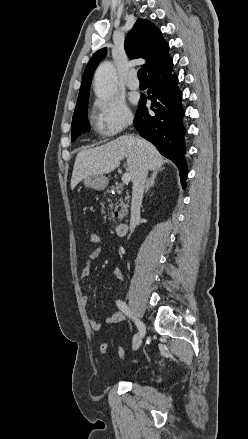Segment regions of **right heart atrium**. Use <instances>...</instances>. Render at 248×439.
Segmentation results:
<instances>
[{
    "label": "right heart atrium",
    "instance_id": "obj_1",
    "mask_svg": "<svg viewBox=\"0 0 248 439\" xmlns=\"http://www.w3.org/2000/svg\"><path fill=\"white\" fill-rule=\"evenodd\" d=\"M92 121L101 136L113 137L132 123L133 114L121 98H100L93 103Z\"/></svg>",
    "mask_w": 248,
    "mask_h": 439
}]
</instances>
